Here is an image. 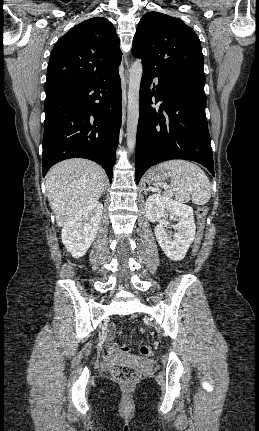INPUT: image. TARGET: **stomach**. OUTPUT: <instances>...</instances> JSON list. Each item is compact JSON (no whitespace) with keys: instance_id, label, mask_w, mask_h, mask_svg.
Returning <instances> with one entry per match:
<instances>
[{"instance_id":"obj_1","label":"stomach","mask_w":259,"mask_h":431,"mask_svg":"<svg viewBox=\"0 0 259 431\" xmlns=\"http://www.w3.org/2000/svg\"><path fill=\"white\" fill-rule=\"evenodd\" d=\"M170 176V172L164 169H151L146 174L145 180L147 183H159L161 181L166 180Z\"/></svg>"}]
</instances>
